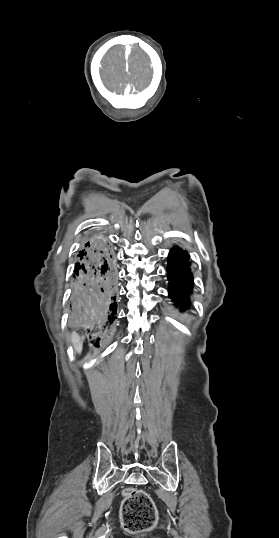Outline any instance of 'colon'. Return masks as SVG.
I'll list each match as a JSON object with an SVG mask.
<instances>
[{
  "label": "colon",
  "instance_id": "1",
  "mask_svg": "<svg viewBox=\"0 0 279 538\" xmlns=\"http://www.w3.org/2000/svg\"><path fill=\"white\" fill-rule=\"evenodd\" d=\"M121 521L125 530L138 533L152 528L157 511L151 497L142 490L126 489L121 507Z\"/></svg>",
  "mask_w": 279,
  "mask_h": 538
}]
</instances>
